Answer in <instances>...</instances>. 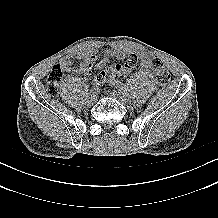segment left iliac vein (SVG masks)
<instances>
[{
    "instance_id": "obj_1",
    "label": "left iliac vein",
    "mask_w": 218,
    "mask_h": 218,
    "mask_svg": "<svg viewBox=\"0 0 218 218\" xmlns=\"http://www.w3.org/2000/svg\"><path fill=\"white\" fill-rule=\"evenodd\" d=\"M111 95L116 98L122 104H127L128 98L125 96L124 93H121L120 90H113Z\"/></svg>"
}]
</instances>
